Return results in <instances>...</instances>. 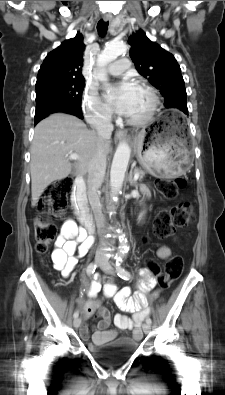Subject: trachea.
Wrapping results in <instances>:
<instances>
[{
  "mask_svg": "<svg viewBox=\"0 0 225 395\" xmlns=\"http://www.w3.org/2000/svg\"><path fill=\"white\" fill-rule=\"evenodd\" d=\"M108 24H109L108 22H105V21H103V20H100V21L98 22V24H97V30H98V33H99L101 36H104V35L106 34Z\"/></svg>",
  "mask_w": 225,
  "mask_h": 395,
  "instance_id": "obj_1",
  "label": "trachea"
}]
</instances>
